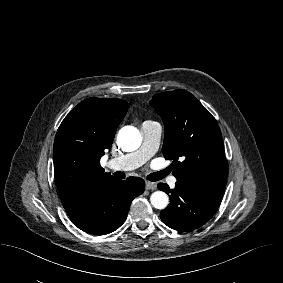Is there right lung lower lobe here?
Here are the masks:
<instances>
[{
	"mask_svg": "<svg viewBox=\"0 0 283 283\" xmlns=\"http://www.w3.org/2000/svg\"><path fill=\"white\" fill-rule=\"evenodd\" d=\"M144 189L145 183L138 177L110 179L101 183L77 210L68 215L78 228L87 233H111L124 223L132 200Z\"/></svg>",
	"mask_w": 283,
	"mask_h": 283,
	"instance_id": "obj_1",
	"label": "right lung lower lobe"
}]
</instances>
